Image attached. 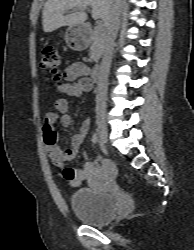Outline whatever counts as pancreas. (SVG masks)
<instances>
[{
  "label": "pancreas",
  "instance_id": "1",
  "mask_svg": "<svg viewBox=\"0 0 194 250\" xmlns=\"http://www.w3.org/2000/svg\"><path fill=\"white\" fill-rule=\"evenodd\" d=\"M105 41V30L104 28H94L90 31V60L92 62H98L102 56Z\"/></svg>",
  "mask_w": 194,
  "mask_h": 250
}]
</instances>
